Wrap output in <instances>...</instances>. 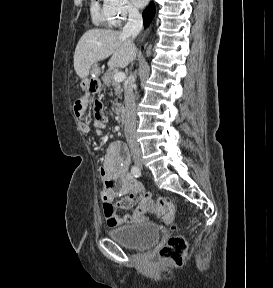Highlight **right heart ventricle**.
<instances>
[{"label": "right heart ventricle", "instance_id": "e07e8e85", "mask_svg": "<svg viewBox=\"0 0 273 288\" xmlns=\"http://www.w3.org/2000/svg\"><path fill=\"white\" fill-rule=\"evenodd\" d=\"M91 14L92 19L96 24L104 26L111 25L110 18L105 9V6L100 5L97 0H93V3L91 5Z\"/></svg>", "mask_w": 273, "mask_h": 288}]
</instances>
